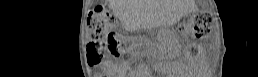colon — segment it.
<instances>
[{"label": "colon", "instance_id": "5ec220e1", "mask_svg": "<svg viewBox=\"0 0 258 77\" xmlns=\"http://www.w3.org/2000/svg\"><path fill=\"white\" fill-rule=\"evenodd\" d=\"M212 17L208 12L195 14L184 26L196 38H206L210 33ZM117 22L114 16L104 8H94L88 16L90 43L88 45V61L91 65L99 63L105 50L116 53L127 47L116 33Z\"/></svg>", "mask_w": 258, "mask_h": 77}]
</instances>
